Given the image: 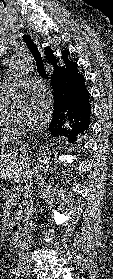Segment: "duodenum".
Here are the masks:
<instances>
[{"instance_id":"1","label":"duodenum","mask_w":113,"mask_h":279,"mask_svg":"<svg viewBox=\"0 0 113 279\" xmlns=\"http://www.w3.org/2000/svg\"><path fill=\"white\" fill-rule=\"evenodd\" d=\"M20 235H21V227L19 225H15L12 228L11 233H10V244L15 248L19 244Z\"/></svg>"}]
</instances>
